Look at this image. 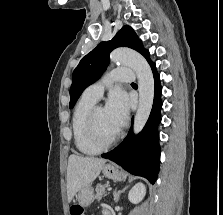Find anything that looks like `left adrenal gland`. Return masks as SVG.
I'll use <instances>...</instances> for the list:
<instances>
[{
	"mask_svg": "<svg viewBox=\"0 0 223 215\" xmlns=\"http://www.w3.org/2000/svg\"><path fill=\"white\" fill-rule=\"evenodd\" d=\"M127 187H128V185H126V187H123V189H119V191H117V189H114L113 195H114V199H115L116 203L119 199L120 193H123V191H125V189H127Z\"/></svg>",
	"mask_w": 223,
	"mask_h": 215,
	"instance_id": "a2214340",
	"label": "left adrenal gland"
}]
</instances>
